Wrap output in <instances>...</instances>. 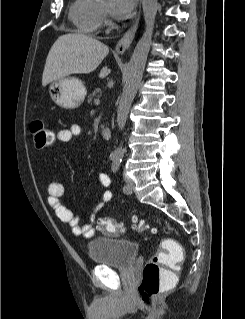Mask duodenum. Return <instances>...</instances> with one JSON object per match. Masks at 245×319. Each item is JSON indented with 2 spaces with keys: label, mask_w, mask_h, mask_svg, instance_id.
Instances as JSON below:
<instances>
[{
  "label": "duodenum",
  "mask_w": 245,
  "mask_h": 319,
  "mask_svg": "<svg viewBox=\"0 0 245 319\" xmlns=\"http://www.w3.org/2000/svg\"><path fill=\"white\" fill-rule=\"evenodd\" d=\"M101 134L104 140H109L112 137L111 129L108 127L103 128Z\"/></svg>",
  "instance_id": "1"
}]
</instances>
